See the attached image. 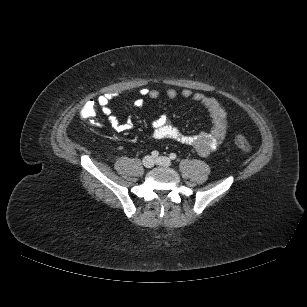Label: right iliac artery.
I'll return each instance as SVG.
<instances>
[{
  "label": "right iliac artery",
  "mask_w": 307,
  "mask_h": 307,
  "mask_svg": "<svg viewBox=\"0 0 307 307\" xmlns=\"http://www.w3.org/2000/svg\"><path fill=\"white\" fill-rule=\"evenodd\" d=\"M158 155H159V152L156 151V150H154V151L151 152V157H152V158H157Z\"/></svg>",
  "instance_id": "obj_1"
}]
</instances>
